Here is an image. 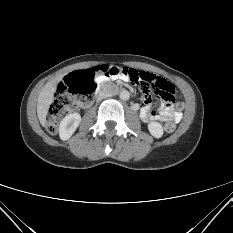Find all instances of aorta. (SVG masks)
Returning <instances> with one entry per match:
<instances>
[{
  "mask_svg": "<svg viewBox=\"0 0 233 233\" xmlns=\"http://www.w3.org/2000/svg\"><path fill=\"white\" fill-rule=\"evenodd\" d=\"M119 97L121 100H128L130 98V93L127 90L120 92Z\"/></svg>",
  "mask_w": 233,
  "mask_h": 233,
  "instance_id": "obj_1",
  "label": "aorta"
}]
</instances>
